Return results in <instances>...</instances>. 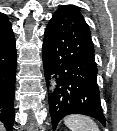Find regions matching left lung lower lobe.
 <instances>
[{
    "instance_id": "0a47b994",
    "label": "left lung lower lobe",
    "mask_w": 117,
    "mask_h": 131,
    "mask_svg": "<svg viewBox=\"0 0 117 131\" xmlns=\"http://www.w3.org/2000/svg\"><path fill=\"white\" fill-rule=\"evenodd\" d=\"M43 65L46 80L54 74L57 83L49 95L54 127L69 114L88 115L105 125L91 34L76 6L59 7L49 21L43 40Z\"/></svg>"
}]
</instances>
